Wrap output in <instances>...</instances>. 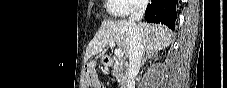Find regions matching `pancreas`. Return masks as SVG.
Listing matches in <instances>:
<instances>
[{"instance_id": "cf45deb5", "label": "pancreas", "mask_w": 227, "mask_h": 88, "mask_svg": "<svg viewBox=\"0 0 227 88\" xmlns=\"http://www.w3.org/2000/svg\"><path fill=\"white\" fill-rule=\"evenodd\" d=\"M111 71L113 76L120 82L123 87H125L127 81V69L119 63H114L111 66Z\"/></svg>"}]
</instances>
